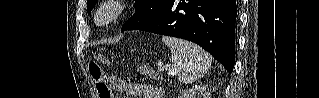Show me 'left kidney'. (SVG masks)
Wrapping results in <instances>:
<instances>
[{
	"mask_svg": "<svg viewBox=\"0 0 319 98\" xmlns=\"http://www.w3.org/2000/svg\"><path fill=\"white\" fill-rule=\"evenodd\" d=\"M178 98H211V90L207 86H195L181 92Z\"/></svg>",
	"mask_w": 319,
	"mask_h": 98,
	"instance_id": "left-kidney-1",
	"label": "left kidney"
}]
</instances>
